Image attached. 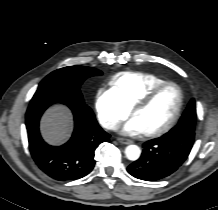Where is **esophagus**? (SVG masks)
<instances>
[{"mask_svg":"<svg viewBox=\"0 0 218 210\" xmlns=\"http://www.w3.org/2000/svg\"><path fill=\"white\" fill-rule=\"evenodd\" d=\"M118 142L122 143V144H131L132 141L129 139H125V138H117Z\"/></svg>","mask_w":218,"mask_h":210,"instance_id":"1","label":"esophagus"}]
</instances>
